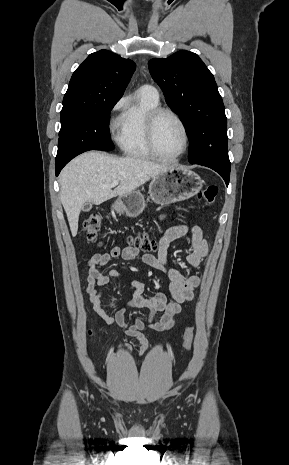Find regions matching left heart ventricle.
<instances>
[{
  "mask_svg": "<svg viewBox=\"0 0 289 465\" xmlns=\"http://www.w3.org/2000/svg\"><path fill=\"white\" fill-rule=\"evenodd\" d=\"M156 140L159 151L168 157L180 153L185 142L180 124L167 114L161 116L158 121Z\"/></svg>",
  "mask_w": 289,
  "mask_h": 465,
  "instance_id": "1",
  "label": "left heart ventricle"
}]
</instances>
